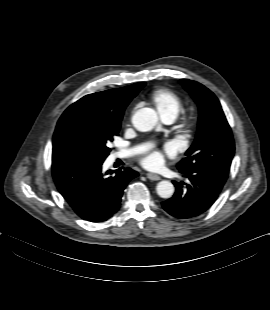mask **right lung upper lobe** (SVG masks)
<instances>
[{
    "label": "right lung upper lobe",
    "instance_id": "obj_1",
    "mask_svg": "<svg viewBox=\"0 0 270 310\" xmlns=\"http://www.w3.org/2000/svg\"><path fill=\"white\" fill-rule=\"evenodd\" d=\"M145 83H136L118 89L89 94L72 104L61 116L53 136L52 162L72 159L65 145V123L69 115L77 108H94L107 121L120 125L126 106L143 88Z\"/></svg>",
    "mask_w": 270,
    "mask_h": 310
}]
</instances>
